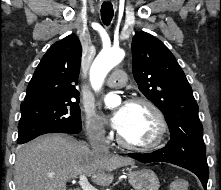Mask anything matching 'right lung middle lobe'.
<instances>
[{"instance_id":"dd1d6c3e","label":"right lung middle lobe","mask_w":221,"mask_h":190,"mask_svg":"<svg viewBox=\"0 0 221 190\" xmlns=\"http://www.w3.org/2000/svg\"><path fill=\"white\" fill-rule=\"evenodd\" d=\"M81 129L79 98L21 105L18 144L26 143L47 133L78 134Z\"/></svg>"}]
</instances>
